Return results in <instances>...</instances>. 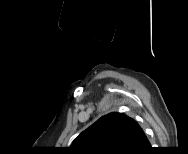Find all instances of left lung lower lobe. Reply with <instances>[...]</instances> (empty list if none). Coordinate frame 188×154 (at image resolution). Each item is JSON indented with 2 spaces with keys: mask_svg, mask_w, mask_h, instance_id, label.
<instances>
[{
  "mask_svg": "<svg viewBox=\"0 0 188 154\" xmlns=\"http://www.w3.org/2000/svg\"><path fill=\"white\" fill-rule=\"evenodd\" d=\"M149 147V141L143 132L142 128L136 122L134 137L131 143L129 153H136L142 149H146Z\"/></svg>",
  "mask_w": 188,
  "mask_h": 154,
  "instance_id": "obj_1",
  "label": "left lung lower lobe"
}]
</instances>
